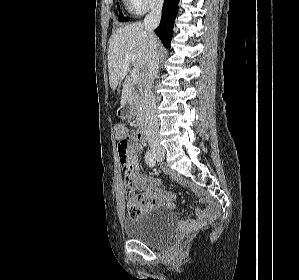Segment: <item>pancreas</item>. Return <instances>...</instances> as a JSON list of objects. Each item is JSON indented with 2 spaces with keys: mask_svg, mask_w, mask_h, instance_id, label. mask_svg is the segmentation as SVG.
<instances>
[{
  "mask_svg": "<svg viewBox=\"0 0 299 280\" xmlns=\"http://www.w3.org/2000/svg\"><path fill=\"white\" fill-rule=\"evenodd\" d=\"M131 102L134 109L135 114H137V126H140L143 122L144 116V97L142 93L139 91H133L131 95Z\"/></svg>",
  "mask_w": 299,
  "mask_h": 280,
  "instance_id": "cf45deb5",
  "label": "pancreas"
}]
</instances>
